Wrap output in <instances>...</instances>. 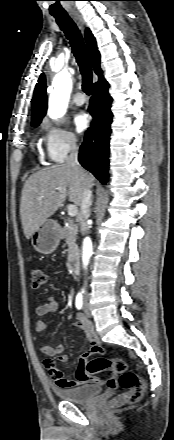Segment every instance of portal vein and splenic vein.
<instances>
[{
  "label": "portal vein and splenic vein",
  "instance_id": "18ae733b",
  "mask_svg": "<svg viewBox=\"0 0 174 440\" xmlns=\"http://www.w3.org/2000/svg\"><path fill=\"white\" fill-rule=\"evenodd\" d=\"M39 199H43V196H40ZM78 214L77 206L74 204L68 205V215L70 217H75Z\"/></svg>",
  "mask_w": 174,
  "mask_h": 440
}]
</instances>
